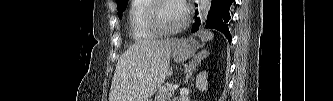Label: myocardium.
<instances>
[{
	"mask_svg": "<svg viewBox=\"0 0 333 101\" xmlns=\"http://www.w3.org/2000/svg\"><path fill=\"white\" fill-rule=\"evenodd\" d=\"M166 2H173V1H168V0L152 1L145 15V22L147 27L158 36H168L176 34L180 32L187 25L188 22V15L187 13H184L182 20L177 26H175L172 29H163L159 23L158 10L161 7V5Z\"/></svg>",
	"mask_w": 333,
	"mask_h": 101,
	"instance_id": "myocardium-1",
	"label": "myocardium"
}]
</instances>
